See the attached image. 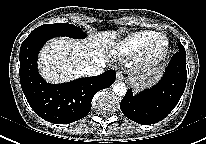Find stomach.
<instances>
[{"mask_svg":"<svg viewBox=\"0 0 206 144\" xmlns=\"http://www.w3.org/2000/svg\"><path fill=\"white\" fill-rule=\"evenodd\" d=\"M160 76V71H148L146 74L131 78V83L135 91L142 90L146 86L153 84Z\"/></svg>","mask_w":206,"mask_h":144,"instance_id":"0dacf381","label":"stomach"}]
</instances>
